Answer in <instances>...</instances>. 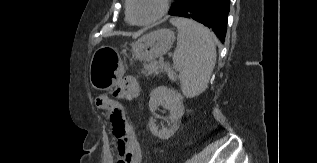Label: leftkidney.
<instances>
[{"mask_svg": "<svg viewBox=\"0 0 317 163\" xmlns=\"http://www.w3.org/2000/svg\"><path fill=\"white\" fill-rule=\"evenodd\" d=\"M160 105L170 112L169 128L159 129L153 118L150 119L148 125L154 136L166 140L170 138L180 126V119L184 114L183 96L174 89L165 86L156 87L150 94L149 109L151 113H154Z\"/></svg>", "mask_w": 317, "mask_h": 163, "instance_id": "5707ae66", "label": "left kidney"}]
</instances>
